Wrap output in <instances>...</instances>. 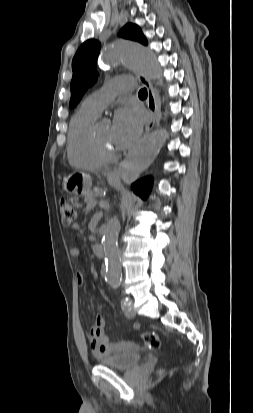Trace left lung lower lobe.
Wrapping results in <instances>:
<instances>
[{
    "instance_id": "0a47b994",
    "label": "left lung lower lobe",
    "mask_w": 253,
    "mask_h": 413,
    "mask_svg": "<svg viewBox=\"0 0 253 413\" xmlns=\"http://www.w3.org/2000/svg\"><path fill=\"white\" fill-rule=\"evenodd\" d=\"M152 186V179L150 177L141 179L132 184L133 191L141 198L146 199Z\"/></svg>"
}]
</instances>
